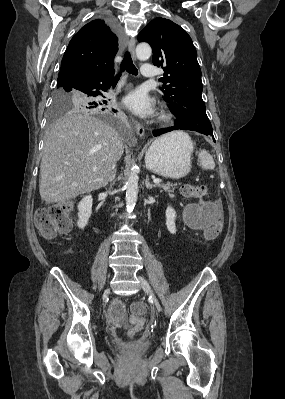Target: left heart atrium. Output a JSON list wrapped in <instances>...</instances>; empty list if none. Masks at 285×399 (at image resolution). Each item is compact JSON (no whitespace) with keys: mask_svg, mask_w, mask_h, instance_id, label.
I'll return each mask as SVG.
<instances>
[{"mask_svg":"<svg viewBox=\"0 0 285 399\" xmlns=\"http://www.w3.org/2000/svg\"><path fill=\"white\" fill-rule=\"evenodd\" d=\"M123 103L130 111L140 117H149L155 111L153 99L142 89H135L128 93Z\"/></svg>","mask_w":285,"mask_h":399,"instance_id":"left-heart-atrium-1","label":"left heart atrium"}]
</instances>
